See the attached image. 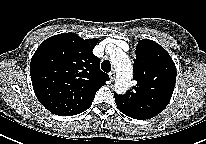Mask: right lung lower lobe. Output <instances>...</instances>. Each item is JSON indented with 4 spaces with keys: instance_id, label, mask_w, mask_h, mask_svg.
Masks as SVG:
<instances>
[{
    "instance_id": "98d812e1",
    "label": "right lung lower lobe",
    "mask_w": 206,
    "mask_h": 144,
    "mask_svg": "<svg viewBox=\"0 0 206 144\" xmlns=\"http://www.w3.org/2000/svg\"><path fill=\"white\" fill-rule=\"evenodd\" d=\"M90 106H91V105H90ZM90 106H89V107H90ZM89 107H87V109H88ZM87 109H85V110H87ZM85 110H84V111H85ZM84 111H82V112H84ZM82 112H81V113H82Z\"/></svg>"
}]
</instances>
